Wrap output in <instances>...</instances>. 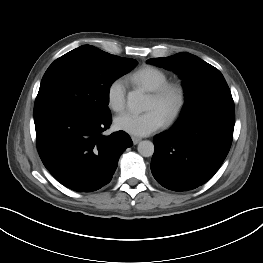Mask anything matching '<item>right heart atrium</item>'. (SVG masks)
I'll use <instances>...</instances> for the list:
<instances>
[{"instance_id":"d8ad5b80","label":"right heart atrium","mask_w":263,"mask_h":263,"mask_svg":"<svg viewBox=\"0 0 263 263\" xmlns=\"http://www.w3.org/2000/svg\"><path fill=\"white\" fill-rule=\"evenodd\" d=\"M108 107L114 112H121L126 105V86L121 78L112 80L106 89Z\"/></svg>"}]
</instances>
